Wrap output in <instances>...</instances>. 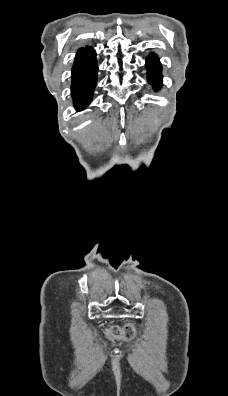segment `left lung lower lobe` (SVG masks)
<instances>
[{"label": "left lung lower lobe", "instance_id": "1", "mask_svg": "<svg viewBox=\"0 0 228 396\" xmlns=\"http://www.w3.org/2000/svg\"><path fill=\"white\" fill-rule=\"evenodd\" d=\"M146 67L148 69V81L155 89H160L162 85L161 65L159 59L151 54L147 61Z\"/></svg>", "mask_w": 228, "mask_h": 396}]
</instances>
